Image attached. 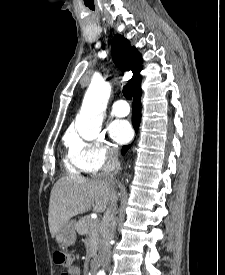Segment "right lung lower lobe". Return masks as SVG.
I'll return each instance as SVG.
<instances>
[{
	"label": "right lung lower lobe",
	"mask_w": 225,
	"mask_h": 275,
	"mask_svg": "<svg viewBox=\"0 0 225 275\" xmlns=\"http://www.w3.org/2000/svg\"><path fill=\"white\" fill-rule=\"evenodd\" d=\"M133 104H132V123L135 131L138 130L141 120V88H137L133 91ZM130 145L123 146L122 153L125 154V151H127L130 148Z\"/></svg>",
	"instance_id": "1"
}]
</instances>
